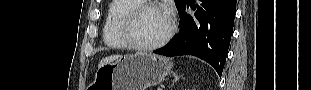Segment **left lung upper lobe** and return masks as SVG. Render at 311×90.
I'll use <instances>...</instances> for the list:
<instances>
[{
    "instance_id": "5c2ea615",
    "label": "left lung upper lobe",
    "mask_w": 311,
    "mask_h": 90,
    "mask_svg": "<svg viewBox=\"0 0 311 90\" xmlns=\"http://www.w3.org/2000/svg\"><path fill=\"white\" fill-rule=\"evenodd\" d=\"M186 3H187L186 0H175V4L177 6L178 12L184 7Z\"/></svg>"
}]
</instances>
